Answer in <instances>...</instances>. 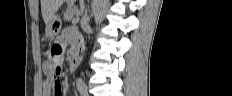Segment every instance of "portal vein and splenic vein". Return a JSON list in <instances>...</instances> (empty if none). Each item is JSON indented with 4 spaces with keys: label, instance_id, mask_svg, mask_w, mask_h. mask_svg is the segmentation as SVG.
Returning <instances> with one entry per match:
<instances>
[{
    "label": "portal vein and splenic vein",
    "instance_id": "portal-vein-and-splenic-vein-1",
    "mask_svg": "<svg viewBox=\"0 0 232 96\" xmlns=\"http://www.w3.org/2000/svg\"><path fill=\"white\" fill-rule=\"evenodd\" d=\"M79 21V17L77 16L75 19H73L72 23H77Z\"/></svg>",
    "mask_w": 232,
    "mask_h": 96
}]
</instances>
